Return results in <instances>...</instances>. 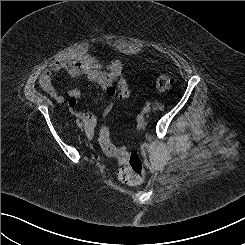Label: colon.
<instances>
[{"instance_id": "1", "label": "colon", "mask_w": 245, "mask_h": 245, "mask_svg": "<svg viewBox=\"0 0 245 245\" xmlns=\"http://www.w3.org/2000/svg\"><path fill=\"white\" fill-rule=\"evenodd\" d=\"M174 79L171 75L164 73L157 77L156 87L160 91H166L172 88ZM99 143L103 151L118 160L121 167L117 172L120 181L128 185H136L144 180L145 171L143 160L139 153L128 152L122 148L116 147L110 139L109 129L103 127L99 132Z\"/></svg>"}]
</instances>
